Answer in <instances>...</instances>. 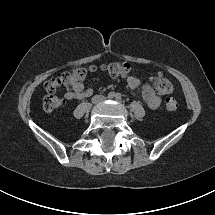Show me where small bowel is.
Instances as JSON below:
<instances>
[{"instance_id": "small-bowel-1", "label": "small bowel", "mask_w": 215, "mask_h": 215, "mask_svg": "<svg viewBox=\"0 0 215 215\" xmlns=\"http://www.w3.org/2000/svg\"><path fill=\"white\" fill-rule=\"evenodd\" d=\"M127 85L130 89H136L140 85V80L136 76H130L127 79ZM92 89H86L82 82L74 84L73 88L65 94L67 100L83 99L91 96ZM142 96L150 109H157L161 104L160 97L155 93L150 84H145L142 88Z\"/></svg>"}]
</instances>
